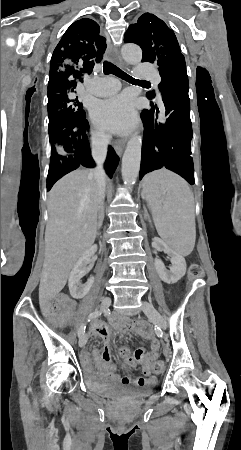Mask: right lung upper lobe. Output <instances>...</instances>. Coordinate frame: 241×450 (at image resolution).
<instances>
[{
  "mask_svg": "<svg viewBox=\"0 0 241 450\" xmlns=\"http://www.w3.org/2000/svg\"><path fill=\"white\" fill-rule=\"evenodd\" d=\"M99 30V25L88 18L74 22L67 29L51 58L49 100L74 93L77 84L103 59L107 45Z\"/></svg>",
  "mask_w": 241,
  "mask_h": 450,
  "instance_id": "right-lung-upper-lobe-1",
  "label": "right lung upper lobe"
}]
</instances>
